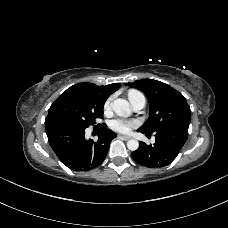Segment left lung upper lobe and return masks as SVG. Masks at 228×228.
Returning <instances> with one entry per match:
<instances>
[{"label": "left lung upper lobe", "mask_w": 228, "mask_h": 228, "mask_svg": "<svg viewBox=\"0 0 228 228\" xmlns=\"http://www.w3.org/2000/svg\"><path fill=\"white\" fill-rule=\"evenodd\" d=\"M142 90L150 103L149 119L139 128L146 133H155L169 125L189 124L191 110L184 96L171 86L153 79L126 83Z\"/></svg>", "instance_id": "5c2ea615"}]
</instances>
